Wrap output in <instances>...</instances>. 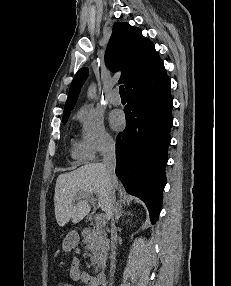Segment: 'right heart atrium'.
<instances>
[{"label":"right heart atrium","instance_id":"d8ad5b80","mask_svg":"<svg viewBox=\"0 0 231 286\" xmlns=\"http://www.w3.org/2000/svg\"><path fill=\"white\" fill-rule=\"evenodd\" d=\"M81 124L82 141L93 155L111 150L115 141L104 125L103 116L95 109L84 106L77 113Z\"/></svg>","mask_w":231,"mask_h":286}]
</instances>
